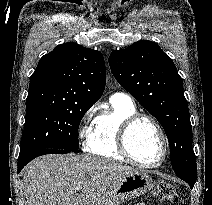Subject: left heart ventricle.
<instances>
[{
    "mask_svg": "<svg viewBox=\"0 0 212 205\" xmlns=\"http://www.w3.org/2000/svg\"><path fill=\"white\" fill-rule=\"evenodd\" d=\"M128 147L139 161L153 163L162 155V143L155 127L147 120L138 121L130 130Z\"/></svg>",
    "mask_w": 212,
    "mask_h": 205,
    "instance_id": "b2bd125f",
    "label": "left heart ventricle"
}]
</instances>
